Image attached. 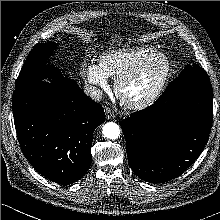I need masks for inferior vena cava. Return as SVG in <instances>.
Instances as JSON below:
<instances>
[{"instance_id":"1","label":"inferior vena cava","mask_w":220,"mask_h":220,"mask_svg":"<svg viewBox=\"0 0 220 220\" xmlns=\"http://www.w3.org/2000/svg\"><path fill=\"white\" fill-rule=\"evenodd\" d=\"M84 93L95 101H100L102 99V91L95 86L89 84L85 85Z\"/></svg>"}]
</instances>
